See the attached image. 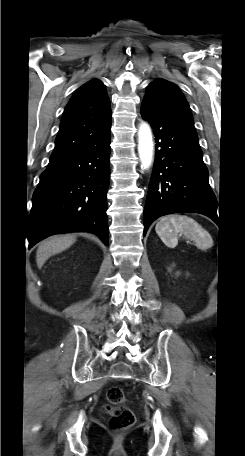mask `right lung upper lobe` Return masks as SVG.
Returning a JSON list of instances; mask_svg holds the SVG:
<instances>
[{
  "label": "right lung upper lobe",
  "mask_w": 245,
  "mask_h": 456,
  "mask_svg": "<svg viewBox=\"0 0 245 456\" xmlns=\"http://www.w3.org/2000/svg\"><path fill=\"white\" fill-rule=\"evenodd\" d=\"M111 126L110 100L104 84L93 79L72 96L63 113L50 159L84 149Z\"/></svg>",
  "instance_id": "right-lung-upper-lobe-1"
}]
</instances>
